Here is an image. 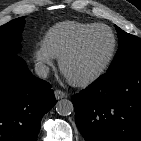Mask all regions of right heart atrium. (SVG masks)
I'll return each mask as SVG.
<instances>
[{"mask_svg": "<svg viewBox=\"0 0 141 141\" xmlns=\"http://www.w3.org/2000/svg\"><path fill=\"white\" fill-rule=\"evenodd\" d=\"M33 59L40 74L45 75L54 66V58L42 46H38L33 51Z\"/></svg>", "mask_w": 141, "mask_h": 141, "instance_id": "right-heart-atrium-1", "label": "right heart atrium"}]
</instances>
